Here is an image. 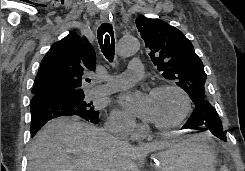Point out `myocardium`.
Returning a JSON list of instances; mask_svg holds the SVG:
<instances>
[{"label": "myocardium", "instance_id": "1", "mask_svg": "<svg viewBox=\"0 0 245 171\" xmlns=\"http://www.w3.org/2000/svg\"><path fill=\"white\" fill-rule=\"evenodd\" d=\"M164 91H173L179 95V97L182 100L183 103V108L182 111L180 112L179 116L173 120L172 122L168 124H157V123H152L153 126L161 131H167L171 130L177 126H179L181 123L184 122V120L188 117L190 111H191V99L188 96V94L183 90L181 87L174 85V84H161L158 86H155L151 90V94H156Z\"/></svg>", "mask_w": 245, "mask_h": 171}]
</instances>
